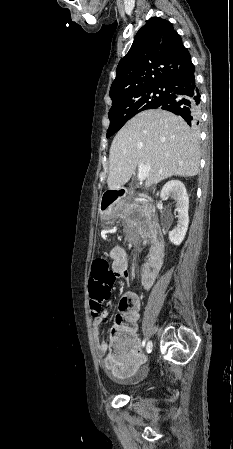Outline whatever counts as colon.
Instances as JSON below:
<instances>
[{
  "mask_svg": "<svg viewBox=\"0 0 233 449\" xmlns=\"http://www.w3.org/2000/svg\"><path fill=\"white\" fill-rule=\"evenodd\" d=\"M112 285L111 269L105 258L96 259L91 264L89 276L90 307L94 315H98L104 309L110 296ZM122 314L115 318L111 332V345L114 351L128 349L132 343L131 335L136 330V300L132 294L122 297L119 303Z\"/></svg>",
  "mask_w": 233,
  "mask_h": 449,
  "instance_id": "obj_1",
  "label": "colon"
}]
</instances>
